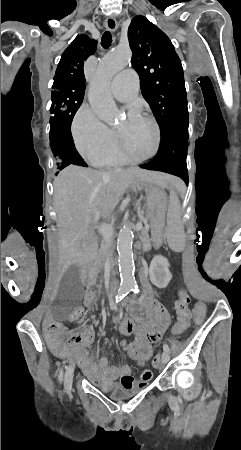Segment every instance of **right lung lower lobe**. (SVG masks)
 <instances>
[{
    "instance_id": "98d812e1",
    "label": "right lung lower lobe",
    "mask_w": 241,
    "mask_h": 450,
    "mask_svg": "<svg viewBox=\"0 0 241 450\" xmlns=\"http://www.w3.org/2000/svg\"><path fill=\"white\" fill-rule=\"evenodd\" d=\"M65 156L68 159L69 164L79 165V166H87L82 157L76 151L74 143L68 142L65 145Z\"/></svg>"
}]
</instances>
